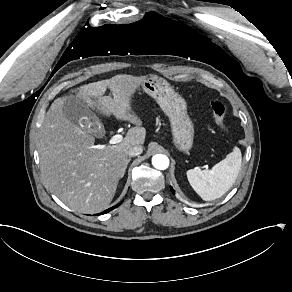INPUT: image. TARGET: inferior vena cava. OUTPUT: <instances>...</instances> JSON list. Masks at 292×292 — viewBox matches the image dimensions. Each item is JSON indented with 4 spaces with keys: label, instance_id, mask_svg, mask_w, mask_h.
I'll return each instance as SVG.
<instances>
[{
    "label": "inferior vena cava",
    "instance_id": "obj_1",
    "mask_svg": "<svg viewBox=\"0 0 292 292\" xmlns=\"http://www.w3.org/2000/svg\"><path fill=\"white\" fill-rule=\"evenodd\" d=\"M143 152V147L142 146H133L130 148L128 154L129 156H137L140 155Z\"/></svg>",
    "mask_w": 292,
    "mask_h": 292
}]
</instances>
